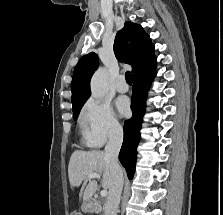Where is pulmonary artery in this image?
I'll list each match as a JSON object with an SVG mask.
<instances>
[{
    "instance_id": "e3ab8cb5",
    "label": "pulmonary artery",
    "mask_w": 223,
    "mask_h": 215,
    "mask_svg": "<svg viewBox=\"0 0 223 215\" xmlns=\"http://www.w3.org/2000/svg\"><path fill=\"white\" fill-rule=\"evenodd\" d=\"M115 88L118 92L124 93L129 90V86L124 77L120 76L115 82Z\"/></svg>"
}]
</instances>
